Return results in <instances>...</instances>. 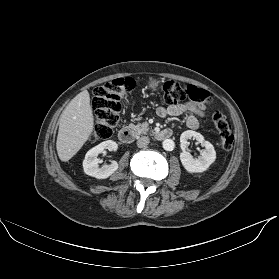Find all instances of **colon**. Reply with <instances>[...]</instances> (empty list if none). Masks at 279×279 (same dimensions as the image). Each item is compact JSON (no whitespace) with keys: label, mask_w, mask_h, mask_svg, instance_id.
I'll return each mask as SVG.
<instances>
[{"label":"colon","mask_w":279,"mask_h":279,"mask_svg":"<svg viewBox=\"0 0 279 279\" xmlns=\"http://www.w3.org/2000/svg\"><path fill=\"white\" fill-rule=\"evenodd\" d=\"M135 87L131 78H117L94 89L93 106L95 126L91 141L105 140L112 136L121 120L125 96ZM161 100L168 106L189 100L195 103H210L209 92L195 86H183L176 81H167L162 87ZM213 123L218 130L221 146L225 150L233 147L235 136L227 118L221 112L213 114Z\"/></svg>","instance_id":"colon-1"}]
</instances>
